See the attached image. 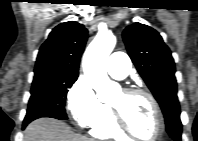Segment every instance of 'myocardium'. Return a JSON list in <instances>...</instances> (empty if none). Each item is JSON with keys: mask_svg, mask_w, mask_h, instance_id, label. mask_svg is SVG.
I'll list each match as a JSON object with an SVG mask.
<instances>
[{"mask_svg": "<svg viewBox=\"0 0 198 141\" xmlns=\"http://www.w3.org/2000/svg\"><path fill=\"white\" fill-rule=\"evenodd\" d=\"M124 94L127 95H143L145 96L151 103L154 114H155V120H156V132L154 136L150 139H147L146 141H156L160 138V136L163 133L164 130V121H163V115L160 109V106L155 99V97L148 91L138 88V87H132V88H125L122 90ZM111 111H112V117L114 120L115 125L117 128L126 136L132 137L137 140H143V138L138 137L127 125L123 115L119 110H117L114 106L110 105Z\"/></svg>", "mask_w": 198, "mask_h": 141, "instance_id": "f54148a6", "label": "myocardium"}]
</instances>
